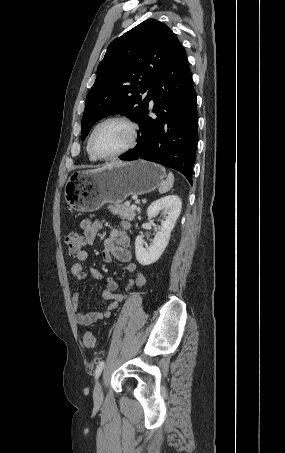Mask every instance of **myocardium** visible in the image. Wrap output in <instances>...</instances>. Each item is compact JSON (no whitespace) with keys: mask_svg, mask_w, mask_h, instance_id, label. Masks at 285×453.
Here are the masks:
<instances>
[{"mask_svg":"<svg viewBox=\"0 0 285 453\" xmlns=\"http://www.w3.org/2000/svg\"><path fill=\"white\" fill-rule=\"evenodd\" d=\"M112 121H118V122L125 123L129 127L130 132H131L130 141L127 146H125L123 149H121L118 152H115L110 155H100L95 151V148H94L93 142H94L95 134L102 125H104L108 122H112ZM139 133H140V128H139L138 123L127 115L116 114V115L106 117L103 120H101L99 123H97L95 125V127L93 128V130L90 134L89 140H88L89 150H90L91 154L98 160H111V159L121 157V156L125 155L126 153L130 152L133 148H135V146L138 143Z\"/></svg>","mask_w":285,"mask_h":453,"instance_id":"myocardium-1","label":"myocardium"}]
</instances>
